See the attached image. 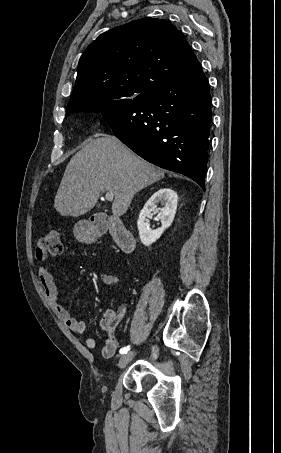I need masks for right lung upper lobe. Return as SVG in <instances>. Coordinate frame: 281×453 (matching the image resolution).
I'll use <instances>...</instances> for the list:
<instances>
[{
	"label": "right lung upper lobe",
	"instance_id": "right-lung-upper-lobe-1",
	"mask_svg": "<svg viewBox=\"0 0 281 453\" xmlns=\"http://www.w3.org/2000/svg\"><path fill=\"white\" fill-rule=\"evenodd\" d=\"M197 61L185 36L167 20L143 18L111 29L81 56L66 116L129 101Z\"/></svg>",
	"mask_w": 281,
	"mask_h": 453
}]
</instances>
